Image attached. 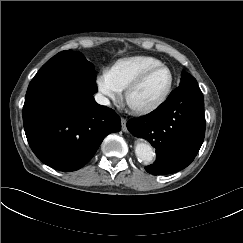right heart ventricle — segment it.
Returning <instances> with one entry per match:
<instances>
[{"mask_svg":"<svg viewBox=\"0 0 243 243\" xmlns=\"http://www.w3.org/2000/svg\"><path fill=\"white\" fill-rule=\"evenodd\" d=\"M161 64V61L150 56H133L117 60L109 69L114 85L123 91L145 69Z\"/></svg>","mask_w":243,"mask_h":243,"instance_id":"e07e8e85","label":"right heart ventricle"}]
</instances>
